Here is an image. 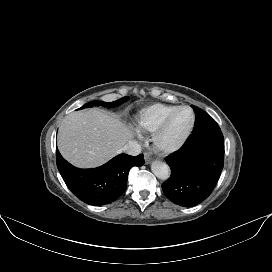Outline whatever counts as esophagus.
<instances>
[{
  "label": "esophagus",
  "instance_id": "34e87169",
  "mask_svg": "<svg viewBox=\"0 0 272 272\" xmlns=\"http://www.w3.org/2000/svg\"><path fill=\"white\" fill-rule=\"evenodd\" d=\"M145 163L149 164L152 160V156L149 153H145Z\"/></svg>",
  "mask_w": 272,
  "mask_h": 272
}]
</instances>
